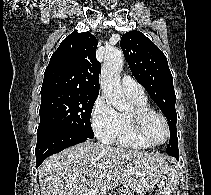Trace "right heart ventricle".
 Instances as JSON below:
<instances>
[{"label": "right heart ventricle", "instance_id": "e07e8e85", "mask_svg": "<svg viewBox=\"0 0 211 195\" xmlns=\"http://www.w3.org/2000/svg\"><path fill=\"white\" fill-rule=\"evenodd\" d=\"M135 108L151 109L146 97H131ZM115 142L124 148L130 149H147L149 146L139 141L134 135L129 121V114L119 113V125Z\"/></svg>", "mask_w": 211, "mask_h": 195}]
</instances>
